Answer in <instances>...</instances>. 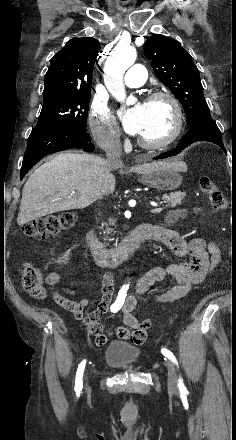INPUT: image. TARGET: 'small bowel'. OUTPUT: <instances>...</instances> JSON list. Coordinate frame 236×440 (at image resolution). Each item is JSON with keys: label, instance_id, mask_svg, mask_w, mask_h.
Wrapping results in <instances>:
<instances>
[{"label": "small bowel", "instance_id": "obj_1", "mask_svg": "<svg viewBox=\"0 0 236 440\" xmlns=\"http://www.w3.org/2000/svg\"><path fill=\"white\" fill-rule=\"evenodd\" d=\"M186 216L185 210L171 211L167 214L162 225L154 226L152 238L168 249L175 256L183 259L180 262L165 266H159L150 269L143 274L137 281L136 293L138 295L147 292L155 283L162 281L167 276L174 277L178 284L169 290L155 295V301L158 303H168L177 301L185 297L191 287L201 283L208 275L212 274L221 262V251L215 243L209 245L203 239L193 238L189 242L184 241L179 232L172 226L180 219ZM59 280L56 272H51L46 277V283L49 286L54 301L62 308L71 312L77 319L83 318L84 308L88 306L89 300L82 296L78 291L71 288L56 290L55 285ZM101 300L86 320L82 323L83 330L94 337L96 345H104L107 336L102 333V326L99 319L106 313L114 292V280L111 274H106L102 281ZM137 304L135 296H129L125 299L122 306L123 322L120 327L110 329V334H117L122 339H144L146 332L141 330L140 322L133 314ZM88 320V321H87ZM143 343V340L134 342Z\"/></svg>", "mask_w": 236, "mask_h": 440}]
</instances>
